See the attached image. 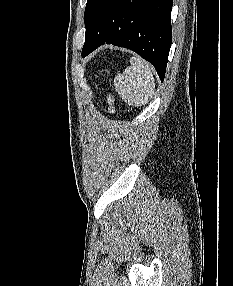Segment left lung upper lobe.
<instances>
[{
    "mask_svg": "<svg viewBox=\"0 0 233 286\" xmlns=\"http://www.w3.org/2000/svg\"><path fill=\"white\" fill-rule=\"evenodd\" d=\"M94 1H95V0H88V1H87L86 8H85V14H84V21H85V22H86V20H87V17H88V15H89V13H90V10H91V6H92V4H93Z\"/></svg>",
    "mask_w": 233,
    "mask_h": 286,
    "instance_id": "5c2ea615",
    "label": "left lung upper lobe"
}]
</instances>
